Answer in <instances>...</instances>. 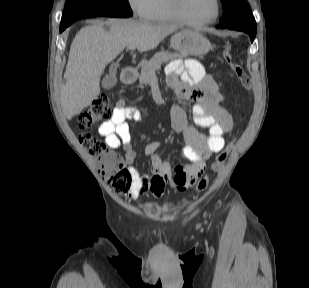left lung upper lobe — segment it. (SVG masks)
Masks as SVG:
<instances>
[{
    "label": "left lung upper lobe",
    "instance_id": "left-lung-upper-lobe-1",
    "mask_svg": "<svg viewBox=\"0 0 309 288\" xmlns=\"http://www.w3.org/2000/svg\"><path fill=\"white\" fill-rule=\"evenodd\" d=\"M221 2L223 5L222 25H228L239 19L252 16L246 0H221Z\"/></svg>",
    "mask_w": 309,
    "mask_h": 288
}]
</instances>
